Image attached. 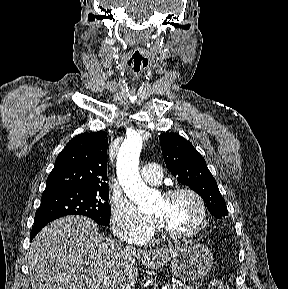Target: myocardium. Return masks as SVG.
Here are the masks:
<instances>
[{
    "label": "myocardium",
    "mask_w": 288,
    "mask_h": 289,
    "mask_svg": "<svg viewBox=\"0 0 288 289\" xmlns=\"http://www.w3.org/2000/svg\"><path fill=\"white\" fill-rule=\"evenodd\" d=\"M180 195H189L195 199V201L197 202L199 206L201 217H200L198 224L196 225L194 229H192L189 232H184V233H177V232L172 231L161 219L157 217H153V220L158 230L165 237L171 240H188V239L194 238L205 229L208 223V209H207L206 203L203 197L197 191L188 187H177V188H172V189L165 191L162 194V198L165 201H169Z\"/></svg>",
    "instance_id": "f54148a6"
}]
</instances>
